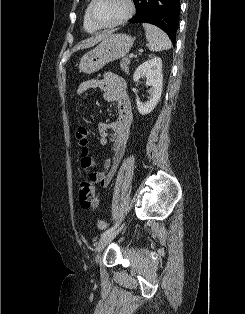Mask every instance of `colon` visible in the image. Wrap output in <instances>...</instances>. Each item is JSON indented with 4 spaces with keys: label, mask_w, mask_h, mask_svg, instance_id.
<instances>
[{
    "label": "colon",
    "mask_w": 245,
    "mask_h": 314,
    "mask_svg": "<svg viewBox=\"0 0 245 314\" xmlns=\"http://www.w3.org/2000/svg\"><path fill=\"white\" fill-rule=\"evenodd\" d=\"M79 202L83 209L91 210L95 204L96 188L91 180H84L79 184ZM108 223L103 220L97 221V227L104 231L108 228Z\"/></svg>",
    "instance_id": "obj_1"
}]
</instances>
